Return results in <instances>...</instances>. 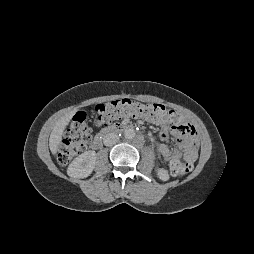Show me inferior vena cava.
Returning <instances> with one entry per match:
<instances>
[{
	"instance_id": "1",
	"label": "inferior vena cava",
	"mask_w": 254,
	"mask_h": 254,
	"mask_svg": "<svg viewBox=\"0 0 254 254\" xmlns=\"http://www.w3.org/2000/svg\"><path fill=\"white\" fill-rule=\"evenodd\" d=\"M119 140V136L117 133L111 132L104 136V145L105 146H113Z\"/></svg>"
}]
</instances>
